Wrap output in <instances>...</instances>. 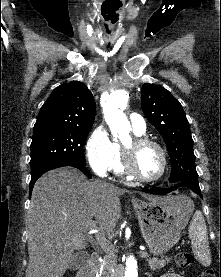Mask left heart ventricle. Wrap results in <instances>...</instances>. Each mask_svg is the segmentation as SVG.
<instances>
[{
    "instance_id": "obj_1",
    "label": "left heart ventricle",
    "mask_w": 221,
    "mask_h": 277,
    "mask_svg": "<svg viewBox=\"0 0 221 277\" xmlns=\"http://www.w3.org/2000/svg\"><path fill=\"white\" fill-rule=\"evenodd\" d=\"M135 165L142 176L147 178L156 177L162 168L160 153L155 147L147 146L137 153Z\"/></svg>"
}]
</instances>
